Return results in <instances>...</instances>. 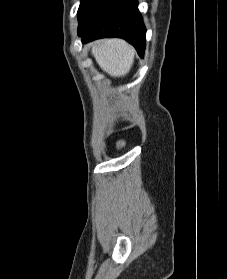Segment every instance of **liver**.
<instances>
[{
	"mask_svg": "<svg viewBox=\"0 0 227 279\" xmlns=\"http://www.w3.org/2000/svg\"><path fill=\"white\" fill-rule=\"evenodd\" d=\"M91 53L100 68L112 77L125 76L134 62L135 49L122 39L95 41Z\"/></svg>",
	"mask_w": 227,
	"mask_h": 279,
	"instance_id": "obj_1",
	"label": "liver"
}]
</instances>
